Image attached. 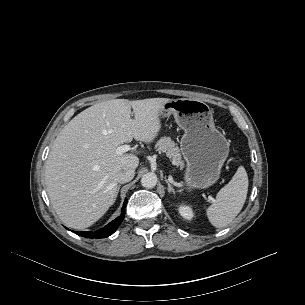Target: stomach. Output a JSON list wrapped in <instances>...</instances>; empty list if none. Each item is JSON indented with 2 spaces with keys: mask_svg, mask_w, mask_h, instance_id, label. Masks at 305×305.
<instances>
[{
  "mask_svg": "<svg viewBox=\"0 0 305 305\" xmlns=\"http://www.w3.org/2000/svg\"><path fill=\"white\" fill-rule=\"evenodd\" d=\"M173 115L184 130L180 141L186 161L184 182L188 191L217 182L229 154V143L214 124L210 107L201 100L180 98L163 105L160 116Z\"/></svg>",
  "mask_w": 305,
  "mask_h": 305,
  "instance_id": "stomach-1",
  "label": "stomach"
}]
</instances>
